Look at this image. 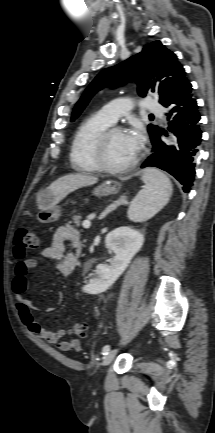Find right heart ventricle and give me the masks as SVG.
Segmentation results:
<instances>
[{"label":"right heart ventricle","mask_w":215,"mask_h":433,"mask_svg":"<svg viewBox=\"0 0 215 433\" xmlns=\"http://www.w3.org/2000/svg\"><path fill=\"white\" fill-rule=\"evenodd\" d=\"M99 112L89 116L76 131L70 149L72 167L80 172H96L93 150L99 135L111 126Z\"/></svg>","instance_id":"obj_1"}]
</instances>
